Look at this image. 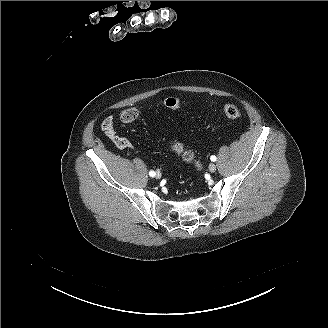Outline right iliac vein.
Returning <instances> with one entry per match:
<instances>
[{
  "mask_svg": "<svg viewBox=\"0 0 328 328\" xmlns=\"http://www.w3.org/2000/svg\"><path fill=\"white\" fill-rule=\"evenodd\" d=\"M155 177H156V179H160L161 178V173L157 172Z\"/></svg>",
  "mask_w": 328,
  "mask_h": 328,
  "instance_id": "right-iliac-vein-1",
  "label": "right iliac vein"
}]
</instances>
